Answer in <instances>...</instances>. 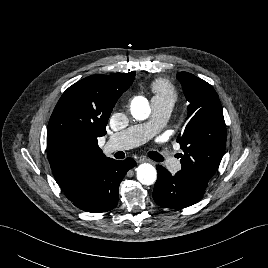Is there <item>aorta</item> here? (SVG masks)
<instances>
[{"label": "aorta", "instance_id": "1", "mask_svg": "<svg viewBox=\"0 0 268 268\" xmlns=\"http://www.w3.org/2000/svg\"><path fill=\"white\" fill-rule=\"evenodd\" d=\"M131 114L137 120H145L151 114V108L145 97L138 96L132 100ZM137 179L143 185H151L155 183L157 171L154 166L149 163H143L136 169Z\"/></svg>", "mask_w": 268, "mask_h": 268}]
</instances>
